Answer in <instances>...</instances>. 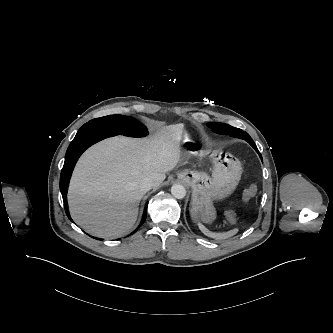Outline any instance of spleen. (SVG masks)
I'll list each match as a JSON object with an SVG mask.
<instances>
[{
    "label": "spleen",
    "instance_id": "obj_1",
    "mask_svg": "<svg viewBox=\"0 0 333 333\" xmlns=\"http://www.w3.org/2000/svg\"><path fill=\"white\" fill-rule=\"evenodd\" d=\"M199 228L200 230L209 237L215 238V239H226L228 237H231L233 235H235L238 232V229H232L228 232H224V233H215V232H211L209 231L203 224H199Z\"/></svg>",
    "mask_w": 333,
    "mask_h": 333
}]
</instances>
